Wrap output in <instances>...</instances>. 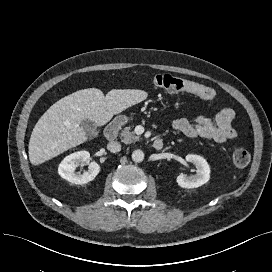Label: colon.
I'll use <instances>...</instances> for the list:
<instances>
[{
	"label": "colon",
	"mask_w": 272,
	"mask_h": 272,
	"mask_svg": "<svg viewBox=\"0 0 272 272\" xmlns=\"http://www.w3.org/2000/svg\"><path fill=\"white\" fill-rule=\"evenodd\" d=\"M154 85L169 94L187 92L206 101H212L216 96L215 91L208 86L169 74L157 75L154 78ZM232 160L235 167L242 169L249 164L250 154L245 149H236L233 153Z\"/></svg>",
	"instance_id": "obj_1"
}]
</instances>
